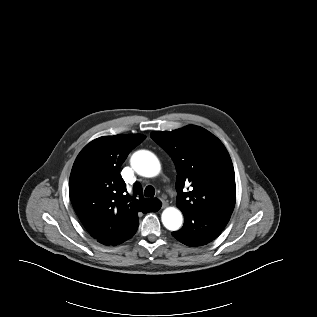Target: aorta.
I'll return each instance as SVG.
<instances>
[{
    "label": "aorta",
    "instance_id": "762f6f07",
    "mask_svg": "<svg viewBox=\"0 0 317 317\" xmlns=\"http://www.w3.org/2000/svg\"><path fill=\"white\" fill-rule=\"evenodd\" d=\"M130 164L137 174L144 177H155L160 172L158 158L147 150L135 152L130 159ZM161 220L165 228L176 231L181 227L183 218L179 209L168 207L162 212Z\"/></svg>",
    "mask_w": 317,
    "mask_h": 317
}]
</instances>
